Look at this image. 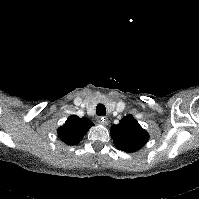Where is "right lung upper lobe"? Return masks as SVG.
<instances>
[{
  "label": "right lung upper lobe",
  "instance_id": "right-lung-upper-lobe-1",
  "mask_svg": "<svg viewBox=\"0 0 199 199\" xmlns=\"http://www.w3.org/2000/svg\"><path fill=\"white\" fill-rule=\"evenodd\" d=\"M94 124L87 118L76 115L68 117L65 124L58 129V136L68 145L78 144L89 128Z\"/></svg>",
  "mask_w": 199,
  "mask_h": 199
}]
</instances>
